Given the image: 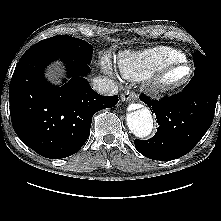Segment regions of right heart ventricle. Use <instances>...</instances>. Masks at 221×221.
<instances>
[{
  "instance_id": "right-heart-ventricle-1",
  "label": "right heart ventricle",
  "mask_w": 221,
  "mask_h": 221,
  "mask_svg": "<svg viewBox=\"0 0 221 221\" xmlns=\"http://www.w3.org/2000/svg\"><path fill=\"white\" fill-rule=\"evenodd\" d=\"M185 60L184 54L172 47L161 46L139 52L123 51L117 59L121 75L139 81L154 76L162 68Z\"/></svg>"
}]
</instances>
